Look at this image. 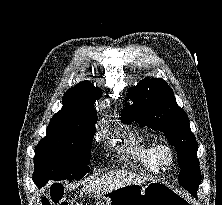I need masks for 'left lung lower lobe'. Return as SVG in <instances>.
Masks as SVG:
<instances>
[{
  "label": "left lung lower lobe",
  "mask_w": 222,
  "mask_h": 205,
  "mask_svg": "<svg viewBox=\"0 0 222 205\" xmlns=\"http://www.w3.org/2000/svg\"><path fill=\"white\" fill-rule=\"evenodd\" d=\"M187 190H189V192H190L194 197H196L197 190H195L193 187H188Z\"/></svg>",
  "instance_id": "0a47b994"
}]
</instances>
